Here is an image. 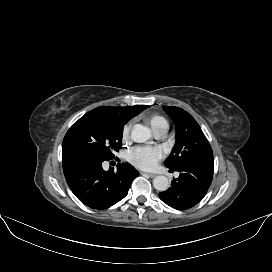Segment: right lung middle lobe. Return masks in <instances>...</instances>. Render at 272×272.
<instances>
[{
    "mask_svg": "<svg viewBox=\"0 0 272 272\" xmlns=\"http://www.w3.org/2000/svg\"><path fill=\"white\" fill-rule=\"evenodd\" d=\"M127 120L114 110L98 107L76 121L62 143V157L82 156L100 161L113 159L122 146Z\"/></svg>",
    "mask_w": 272,
    "mask_h": 272,
    "instance_id": "obj_1",
    "label": "right lung middle lobe"
}]
</instances>
